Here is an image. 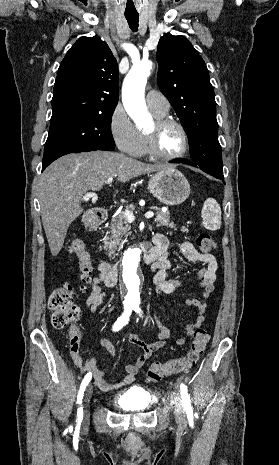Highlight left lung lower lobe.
<instances>
[{
  "instance_id": "1",
  "label": "left lung lower lobe",
  "mask_w": 279,
  "mask_h": 465,
  "mask_svg": "<svg viewBox=\"0 0 279 465\" xmlns=\"http://www.w3.org/2000/svg\"><path fill=\"white\" fill-rule=\"evenodd\" d=\"M173 162H177V163H180V162H182V163H188V164H190V165H192V166L199 167V166H197V165H195V164H193V163H190V162H188V161L181 160V159L173 160ZM199 168H200V167H199ZM200 169L203 170L202 168H200ZM203 171H204V170H203ZM204 172H205V171H204ZM206 173H207V172H206ZM219 179L223 180V183L225 184V182H224V177H221V178H219Z\"/></svg>"
}]
</instances>
